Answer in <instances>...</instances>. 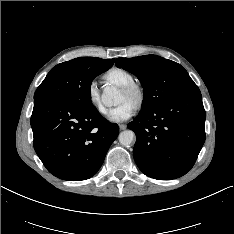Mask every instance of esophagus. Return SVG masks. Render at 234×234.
<instances>
[{
	"label": "esophagus",
	"instance_id": "obj_1",
	"mask_svg": "<svg viewBox=\"0 0 234 234\" xmlns=\"http://www.w3.org/2000/svg\"><path fill=\"white\" fill-rule=\"evenodd\" d=\"M120 130H125L127 128L126 124H119Z\"/></svg>",
	"mask_w": 234,
	"mask_h": 234
}]
</instances>
